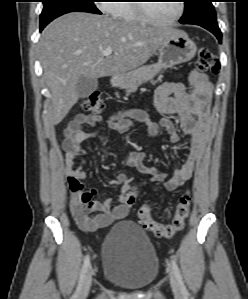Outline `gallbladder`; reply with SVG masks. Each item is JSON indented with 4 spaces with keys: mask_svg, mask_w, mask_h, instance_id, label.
Returning a JSON list of instances; mask_svg holds the SVG:
<instances>
[{
    "mask_svg": "<svg viewBox=\"0 0 248 299\" xmlns=\"http://www.w3.org/2000/svg\"><path fill=\"white\" fill-rule=\"evenodd\" d=\"M98 87V79L82 75L77 82L76 90L80 98H86Z\"/></svg>",
    "mask_w": 248,
    "mask_h": 299,
    "instance_id": "1",
    "label": "gallbladder"
}]
</instances>
